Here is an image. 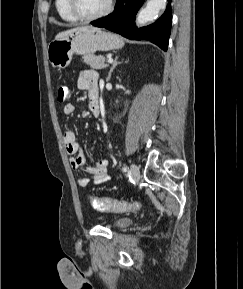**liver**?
I'll return each mask as SVG.
<instances>
[{"instance_id":"liver-1","label":"liver","mask_w":243,"mask_h":289,"mask_svg":"<svg viewBox=\"0 0 243 289\" xmlns=\"http://www.w3.org/2000/svg\"><path fill=\"white\" fill-rule=\"evenodd\" d=\"M75 29H78V28H74V29H70V30H67V31L60 32V33H58V34L56 35L55 39L64 37V36H66L68 33L74 31Z\"/></svg>"}]
</instances>
